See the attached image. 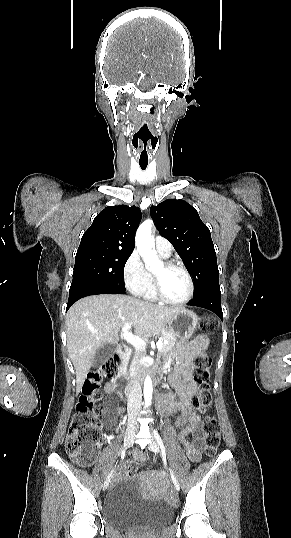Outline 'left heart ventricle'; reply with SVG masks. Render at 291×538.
Returning a JSON list of instances; mask_svg holds the SVG:
<instances>
[{"label": "left heart ventricle", "mask_w": 291, "mask_h": 538, "mask_svg": "<svg viewBox=\"0 0 291 538\" xmlns=\"http://www.w3.org/2000/svg\"><path fill=\"white\" fill-rule=\"evenodd\" d=\"M160 277L164 294L171 300H181L188 292V281L184 273L178 269L166 270L161 264L154 272Z\"/></svg>", "instance_id": "1"}]
</instances>
